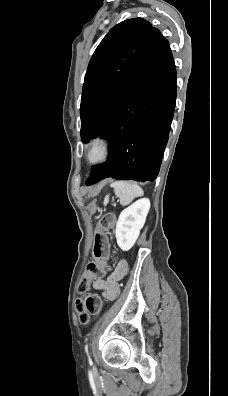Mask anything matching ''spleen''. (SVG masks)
Returning a JSON list of instances; mask_svg holds the SVG:
<instances>
[{
	"label": "spleen",
	"instance_id": "1",
	"mask_svg": "<svg viewBox=\"0 0 228 396\" xmlns=\"http://www.w3.org/2000/svg\"><path fill=\"white\" fill-rule=\"evenodd\" d=\"M114 189V193L119 197L120 204L126 206L131 203L135 198L143 195V190L140 186L135 183L116 181L111 184ZM109 197L105 198L104 204H107Z\"/></svg>",
	"mask_w": 228,
	"mask_h": 396
}]
</instances>
